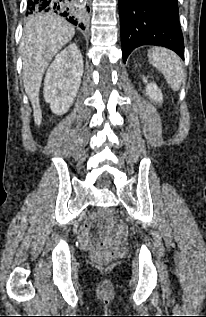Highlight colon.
I'll list each match as a JSON object with an SVG mask.
<instances>
[{
	"mask_svg": "<svg viewBox=\"0 0 206 317\" xmlns=\"http://www.w3.org/2000/svg\"><path fill=\"white\" fill-rule=\"evenodd\" d=\"M99 215L103 220H112V214L109 210L103 209ZM112 221L115 226L121 224L117 220ZM84 247L92 253V259L98 265H108L123 253L122 248L110 247L100 239H92Z\"/></svg>",
	"mask_w": 206,
	"mask_h": 317,
	"instance_id": "colon-1",
	"label": "colon"
}]
</instances>
